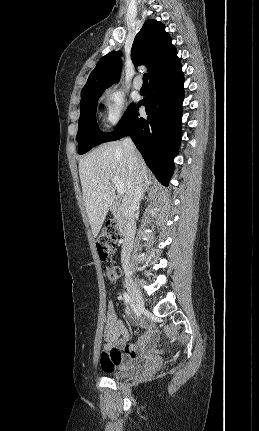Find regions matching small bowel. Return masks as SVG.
<instances>
[{"label": "small bowel", "mask_w": 259, "mask_h": 431, "mask_svg": "<svg viewBox=\"0 0 259 431\" xmlns=\"http://www.w3.org/2000/svg\"><path fill=\"white\" fill-rule=\"evenodd\" d=\"M141 325L146 333L137 343L127 344L129 332L118 319L114 303L109 302L104 329L105 347L100 357L104 372L125 367L143 355V348L154 341L155 331L149 323L143 322Z\"/></svg>", "instance_id": "1"}]
</instances>
